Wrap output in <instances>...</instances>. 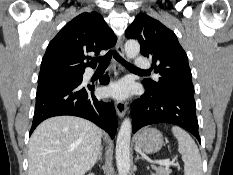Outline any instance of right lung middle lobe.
<instances>
[{"mask_svg":"<svg viewBox=\"0 0 233 175\" xmlns=\"http://www.w3.org/2000/svg\"><path fill=\"white\" fill-rule=\"evenodd\" d=\"M82 75L83 73L38 78L37 90L53 85L77 83L82 80Z\"/></svg>","mask_w":233,"mask_h":175,"instance_id":"obj_1","label":"right lung middle lobe"}]
</instances>
